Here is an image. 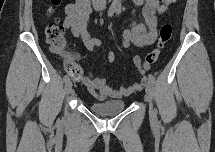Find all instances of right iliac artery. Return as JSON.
I'll list each match as a JSON object with an SVG mask.
<instances>
[{
    "label": "right iliac artery",
    "mask_w": 215,
    "mask_h": 152,
    "mask_svg": "<svg viewBox=\"0 0 215 152\" xmlns=\"http://www.w3.org/2000/svg\"><path fill=\"white\" fill-rule=\"evenodd\" d=\"M114 12H115V9L110 8L109 11H108V17L113 16ZM68 81H69V76H68V75H65V76L63 77V82L66 83V82H68Z\"/></svg>",
    "instance_id": "obj_1"
}]
</instances>
